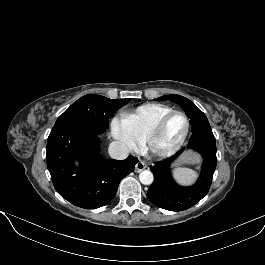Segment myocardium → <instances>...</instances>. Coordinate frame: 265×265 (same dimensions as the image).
Wrapping results in <instances>:
<instances>
[{
	"label": "myocardium",
	"instance_id": "obj_1",
	"mask_svg": "<svg viewBox=\"0 0 265 265\" xmlns=\"http://www.w3.org/2000/svg\"><path fill=\"white\" fill-rule=\"evenodd\" d=\"M173 115H181L182 117H184V119L186 121L185 132H184L183 136L181 137V139L177 143H175L174 145L169 146V147H165V148L157 147L156 146V139L160 135V133H161L164 125L166 124L167 120ZM190 128H191L190 119L185 112L180 111V110H171V111L167 112L166 114H164L163 116H161L156 121V123L152 126V128L144 136L143 144H144L145 148L150 153H152L153 155H156L159 157L170 156V155L176 153L184 145V143L186 142L188 135L190 133Z\"/></svg>",
	"mask_w": 265,
	"mask_h": 265
}]
</instances>
